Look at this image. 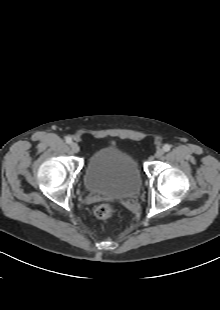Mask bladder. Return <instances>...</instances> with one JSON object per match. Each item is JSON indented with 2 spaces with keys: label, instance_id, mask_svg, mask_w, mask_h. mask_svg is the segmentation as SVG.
<instances>
[{
  "label": "bladder",
  "instance_id": "31cf9c89",
  "mask_svg": "<svg viewBox=\"0 0 220 310\" xmlns=\"http://www.w3.org/2000/svg\"><path fill=\"white\" fill-rule=\"evenodd\" d=\"M83 181L88 192L113 199L133 197L142 185L135 158L112 145L101 147L91 154Z\"/></svg>",
  "mask_w": 220,
  "mask_h": 310
}]
</instances>
